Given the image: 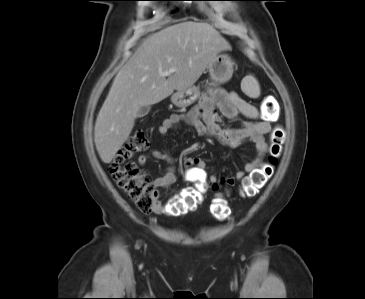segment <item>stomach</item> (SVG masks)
<instances>
[{"label": "stomach", "instance_id": "0dacf381", "mask_svg": "<svg viewBox=\"0 0 365 299\" xmlns=\"http://www.w3.org/2000/svg\"><path fill=\"white\" fill-rule=\"evenodd\" d=\"M234 61L227 54H218L208 65L210 78L216 83L229 81L234 72ZM199 97V88L192 86L186 90L176 91L171 96V102L177 107H187Z\"/></svg>", "mask_w": 365, "mask_h": 299}]
</instances>
